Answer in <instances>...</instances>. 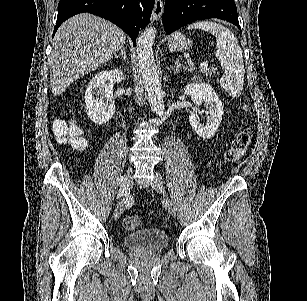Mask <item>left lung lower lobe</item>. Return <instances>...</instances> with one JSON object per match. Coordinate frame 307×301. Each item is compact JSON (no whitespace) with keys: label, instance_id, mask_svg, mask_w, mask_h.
Listing matches in <instances>:
<instances>
[{"label":"left lung lower lobe","instance_id":"obj_1","mask_svg":"<svg viewBox=\"0 0 307 301\" xmlns=\"http://www.w3.org/2000/svg\"><path fill=\"white\" fill-rule=\"evenodd\" d=\"M219 18L240 29L237 8L233 0H167L163 24L166 34L196 20Z\"/></svg>","mask_w":307,"mask_h":301}]
</instances>
